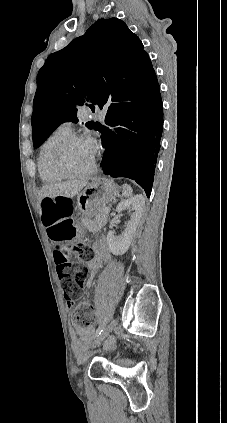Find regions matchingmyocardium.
<instances>
[{
	"label": "myocardium",
	"instance_id": "obj_1",
	"mask_svg": "<svg viewBox=\"0 0 227 423\" xmlns=\"http://www.w3.org/2000/svg\"><path fill=\"white\" fill-rule=\"evenodd\" d=\"M77 143H88L87 139L80 135H71L70 137L59 143L54 149L51 162L53 167L65 178L68 179H82L93 174L97 169V160L95 159L92 166L81 173H75L70 170L66 162V155L68 150Z\"/></svg>",
	"mask_w": 227,
	"mask_h": 423
}]
</instances>
